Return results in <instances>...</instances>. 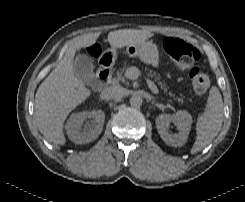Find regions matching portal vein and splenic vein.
Returning a JSON list of instances; mask_svg holds the SVG:
<instances>
[{"instance_id":"portal-vein-and-splenic-vein-1","label":"portal vein and splenic vein","mask_w":245,"mask_h":202,"mask_svg":"<svg viewBox=\"0 0 245 202\" xmlns=\"http://www.w3.org/2000/svg\"><path fill=\"white\" fill-rule=\"evenodd\" d=\"M140 76V71L137 67H130L126 70V77L130 80H136ZM149 88L152 90L154 94H158L159 90L156 87V85L151 82L150 80H147Z\"/></svg>"}]
</instances>
